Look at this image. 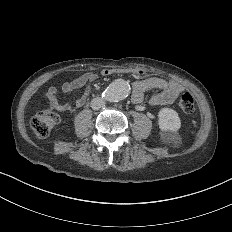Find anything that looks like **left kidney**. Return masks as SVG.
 <instances>
[{"instance_id": "5707ae66", "label": "left kidney", "mask_w": 232, "mask_h": 232, "mask_svg": "<svg viewBox=\"0 0 232 232\" xmlns=\"http://www.w3.org/2000/svg\"><path fill=\"white\" fill-rule=\"evenodd\" d=\"M160 127L165 132H174L180 127V119L177 113L171 109L164 108L159 113Z\"/></svg>"}]
</instances>
